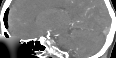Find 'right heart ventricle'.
<instances>
[{"instance_id": "right-heart-ventricle-1", "label": "right heart ventricle", "mask_w": 116, "mask_h": 58, "mask_svg": "<svg viewBox=\"0 0 116 58\" xmlns=\"http://www.w3.org/2000/svg\"><path fill=\"white\" fill-rule=\"evenodd\" d=\"M33 6V5H26V7Z\"/></svg>"}]
</instances>
